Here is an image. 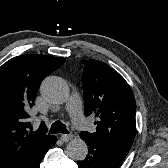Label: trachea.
<instances>
[{
	"mask_svg": "<svg viewBox=\"0 0 168 168\" xmlns=\"http://www.w3.org/2000/svg\"><path fill=\"white\" fill-rule=\"evenodd\" d=\"M49 133L50 134H55V133H64V134H67L69 132L66 129V126L61 121H56V122H54L52 124Z\"/></svg>",
	"mask_w": 168,
	"mask_h": 168,
	"instance_id": "obj_1",
	"label": "trachea"
}]
</instances>
